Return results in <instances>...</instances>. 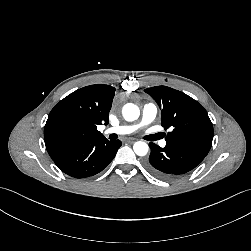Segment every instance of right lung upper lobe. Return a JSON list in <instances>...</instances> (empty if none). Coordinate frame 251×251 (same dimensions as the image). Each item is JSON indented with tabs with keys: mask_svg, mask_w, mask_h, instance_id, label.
I'll list each match as a JSON object with an SVG mask.
<instances>
[{
	"mask_svg": "<svg viewBox=\"0 0 251 251\" xmlns=\"http://www.w3.org/2000/svg\"><path fill=\"white\" fill-rule=\"evenodd\" d=\"M114 95V87L96 84L62 99L51 110L44 128L50 157L54 159L72 146L104 138L97 126L108 124Z\"/></svg>",
	"mask_w": 251,
	"mask_h": 251,
	"instance_id": "1",
	"label": "right lung upper lobe"
}]
</instances>
